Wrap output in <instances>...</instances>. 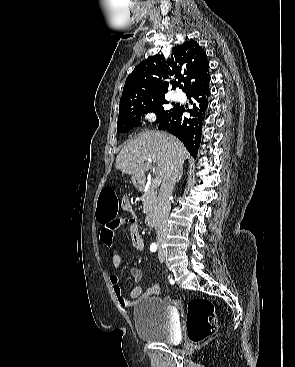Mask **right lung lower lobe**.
Segmentation results:
<instances>
[{
    "label": "right lung lower lobe",
    "instance_id": "right-lung-lower-lobe-1",
    "mask_svg": "<svg viewBox=\"0 0 295 367\" xmlns=\"http://www.w3.org/2000/svg\"><path fill=\"white\" fill-rule=\"evenodd\" d=\"M210 94L209 81L186 93L188 98H193V108L187 110L190 117L183 114L186 111L184 106H178L175 111L160 121L158 128L167 130L178 137L186 146L190 154L195 155L200 146L202 124L205 110L208 107L207 97Z\"/></svg>",
    "mask_w": 295,
    "mask_h": 367
}]
</instances>
